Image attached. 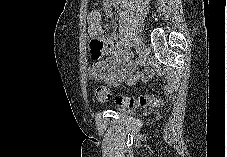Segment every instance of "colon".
I'll return each mask as SVG.
<instances>
[{
	"label": "colon",
	"instance_id": "colon-1",
	"mask_svg": "<svg viewBox=\"0 0 227 157\" xmlns=\"http://www.w3.org/2000/svg\"><path fill=\"white\" fill-rule=\"evenodd\" d=\"M99 59V58H94ZM102 63L96 61L91 64L89 68L90 75L92 77H98L103 73ZM95 97L97 101L103 103L111 98V91L105 86H99L95 91ZM115 102L118 105L126 106L129 108L138 107H155L163 104L164 99L157 97L155 95H139V96H127V95H117L115 97Z\"/></svg>",
	"mask_w": 227,
	"mask_h": 157
}]
</instances>
